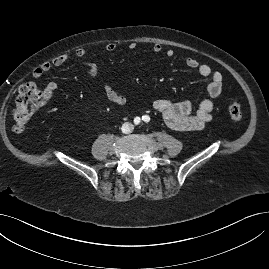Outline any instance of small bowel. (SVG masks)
Instances as JSON below:
<instances>
[{
	"mask_svg": "<svg viewBox=\"0 0 269 269\" xmlns=\"http://www.w3.org/2000/svg\"><path fill=\"white\" fill-rule=\"evenodd\" d=\"M137 47L136 43H130L128 49L133 51ZM117 49V45L113 42L105 46V51L112 53ZM152 50L155 53L163 51V46L159 43L152 45ZM164 54L167 57H173L174 50L171 48L165 49ZM88 53L84 48H78L75 51V56L81 60L82 65L91 76H95L99 72L97 62L87 57ZM69 61L68 55H59L53 58L50 62H44L38 66L32 73L34 79H40L45 73L49 72L53 67H59ZM185 64L189 69L196 70L198 74L208 79L206 91L209 99L203 100L198 108L194 110L193 104L189 100L171 103L164 99H158L154 102V109L162 116L163 120L173 130L186 132L203 129L212 119V111L214 102L211 98L220 96L223 92V76L220 72L213 71L209 65L201 64L194 57H187ZM57 89V84L53 81L48 82L43 88V104L49 102ZM106 98L118 106H125L127 103L126 97L115 90L108 84L103 87Z\"/></svg>",
	"mask_w": 269,
	"mask_h": 269,
	"instance_id": "small-bowel-1",
	"label": "small bowel"
}]
</instances>
